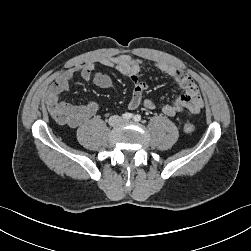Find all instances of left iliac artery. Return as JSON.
<instances>
[{
    "instance_id": "44dca946",
    "label": "left iliac artery",
    "mask_w": 251,
    "mask_h": 251,
    "mask_svg": "<svg viewBox=\"0 0 251 251\" xmlns=\"http://www.w3.org/2000/svg\"><path fill=\"white\" fill-rule=\"evenodd\" d=\"M141 120V116L140 115H135L134 116V121L135 122H139Z\"/></svg>"
}]
</instances>
